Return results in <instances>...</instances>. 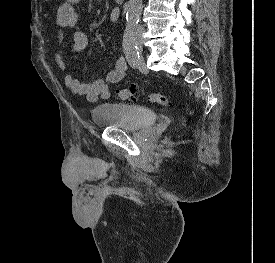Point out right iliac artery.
<instances>
[{
    "mask_svg": "<svg viewBox=\"0 0 275 263\" xmlns=\"http://www.w3.org/2000/svg\"><path fill=\"white\" fill-rule=\"evenodd\" d=\"M123 49L130 66L137 68L139 66V52L131 29H126L124 33Z\"/></svg>",
    "mask_w": 275,
    "mask_h": 263,
    "instance_id": "82829eb1",
    "label": "right iliac artery"
}]
</instances>
